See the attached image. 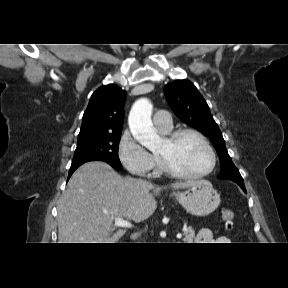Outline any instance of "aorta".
I'll return each instance as SVG.
<instances>
[{
	"instance_id": "762f6f07",
	"label": "aorta",
	"mask_w": 288,
	"mask_h": 288,
	"mask_svg": "<svg viewBox=\"0 0 288 288\" xmlns=\"http://www.w3.org/2000/svg\"><path fill=\"white\" fill-rule=\"evenodd\" d=\"M152 108L148 99L141 98L134 103L128 118L133 137L149 150L160 145V137L156 134L151 120Z\"/></svg>"
}]
</instances>
